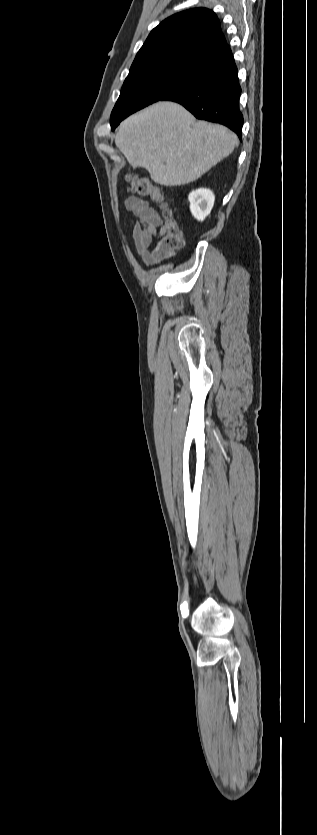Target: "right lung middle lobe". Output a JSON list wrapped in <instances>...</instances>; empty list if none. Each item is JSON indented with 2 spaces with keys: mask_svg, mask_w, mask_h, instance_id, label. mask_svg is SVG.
<instances>
[{
  "mask_svg": "<svg viewBox=\"0 0 317 835\" xmlns=\"http://www.w3.org/2000/svg\"><path fill=\"white\" fill-rule=\"evenodd\" d=\"M192 58L153 65L129 73L111 113V129L130 114L206 78Z\"/></svg>",
  "mask_w": 317,
  "mask_h": 835,
  "instance_id": "1",
  "label": "right lung middle lobe"
}]
</instances>
